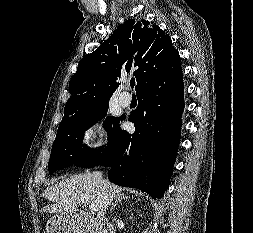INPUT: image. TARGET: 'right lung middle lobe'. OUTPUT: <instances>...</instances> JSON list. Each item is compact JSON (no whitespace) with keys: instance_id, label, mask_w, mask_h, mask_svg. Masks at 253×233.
<instances>
[{"instance_id":"obj_1","label":"right lung middle lobe","mask_w":253,"mask_h":233,"mask_svg":"<svg viewBox=\"0 0 253 233\" xmlns=\"http://www.w3.org/2000/svg\"><path fill=\"white\" fill-rule=\"evenodd\" d=\"M108 110V101L96 104L71 116L63 118L61 121L56 139L52 146L51 156L48 163L49 173L61 168L77 165L97 155L102 148L90 149L86 145L82 146L84 132L103 119ZM120 118L108 116L103 126L107 129L110 137L113 127L116 126Z\"/></svg>"}]
</instances>
